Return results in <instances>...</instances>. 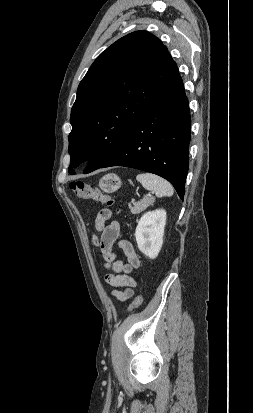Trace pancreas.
Instances as JSON below:
<instances>
[{"label": "pancreas", "mask_w": 253, "mask_h": 413, "mask_svg": "<svg viewBox=\"0 0 253 413\" xmlns=\"http://www.w3.org/2000/svg\"><path fill=\"white\" fill-rule=\"evenodd\" d=\"M155 198L153 197H144L139 202H134L133 206L129 204V209L133 214H139L144 211L150 205H153Z\"/></svg>", "instance_id": "obj_1"}]
</instances>
